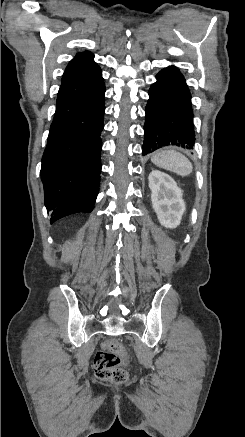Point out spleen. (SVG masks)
Instances as JSON below:
<instances>
[{
	"instance_id": "3e777b00",
	"label": "spleen",
	"mask_w": 245,
	"mask_h": 437,
	"mask_svg": "<svg viewBox=\"0 0 245 437\" xmlns=\"http://www.w3.org/2000/svg\"><path fill=\"white\" fill-rule=\"evenodd\" d=\"M151 161L156 166L181 176H187L193 170L190 160L175 150H158L151 156Z\"/></svg>"
}]
</instances>
